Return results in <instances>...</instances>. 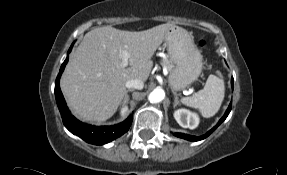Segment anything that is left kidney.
<instances>
[{"instance_id": "obj_1", "label": "left kidney", "mask_w": 287, "mask_h": 175, "mask_svg": "<svg viewBox=\"0 0 287 175\" xmlns=\"http://www.w3.org/2000/svg\"><path fill=\"white\" fill-rule=\"evenodd\" d=\"M174 118L177 123L183 128L194 129L199 124V117L187 109H178L174 112Z\"/></svg>"}]
</instances>
